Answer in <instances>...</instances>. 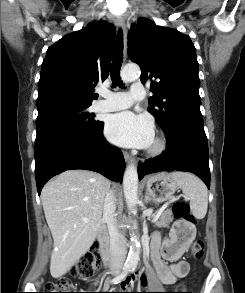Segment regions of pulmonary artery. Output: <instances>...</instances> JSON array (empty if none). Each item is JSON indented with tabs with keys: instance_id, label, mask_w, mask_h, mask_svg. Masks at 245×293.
<instances>
[{
	"instance_id": "1",
	"label": "pulmonary artery",
	"mask_w": 245,
	"mask_h": 293,
	"mask_svg": "<svg viewBox=\"0 0 245 293\" xmlns=\"http://www.w3.org/2000/svg\"><path fill=\"white\" fill-rule=\"evenodd\" d=\"M102 100L96 105L97 111L111 112L129 108L134 102L145 96L141 83H133L129 92L101 91Z\"/></svg>"
}]
</instances>
